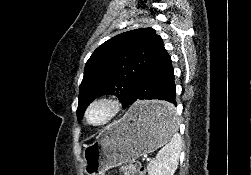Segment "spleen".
I'll list each match as a JSON object with an SVG mask.
<instances>
[{
  "mask_svg": "<svg viewBox=\"0 0 251 175\" xmlns=\"http://www.w3.org/2000/svg\"><path fill=\"white\" fill-rule=\"evenodd\" d=\"M164 129L171 135L166 145L158 151L156 159L148 163L149 175H173L177 169L178 159L181 151V135L177 133L176 113L168 109V115L160 117Z\"/></svg>",
  "mask_w": 251,
  "mask_h": 175,
  "instance_id": "3e777b00",
  "label": "spleen"
}]
</instances>
